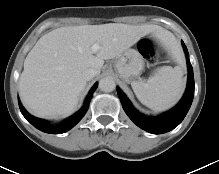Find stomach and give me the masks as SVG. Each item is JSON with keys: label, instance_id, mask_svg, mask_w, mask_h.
<instances>
[{"label": "stomach", "instance_id": "1", "mask_svg": "<svg viewBox=\"0 0 219 174\" xmlns=\"http://www.w3.org/2000/svg\"><path fill=\"white\" fill-rule=\"evenodd\" d=\"M144 68L142 55L136 49H127L117 60L115 70L126 82L137 78Z\"/></svg>", "mask_w": 219, "mask_h": 174}]
</instances>
